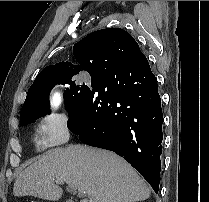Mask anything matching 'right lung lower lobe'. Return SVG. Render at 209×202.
Wrapping results in <instances>:
<instances>
[{
    "label": "right lung lower lobe",
    "mask_w": 209,
    "mask_h": 202,
    "mask_svg": "<svg viewBox=\"0 0 209 202\" xmlns=\"http://www.w3.org/2000/svg\"><path fill=\"white\" fill-rule=\"evenodd\" d=\"M157 86L146 57L135 59L125 79L109 75L96 80L94 93L86 99L80 114L67 123L81 142L122 156L156 193L163 141Z\"/></svg>",
    "instance_id": "obj_1"
}]
</instances>
